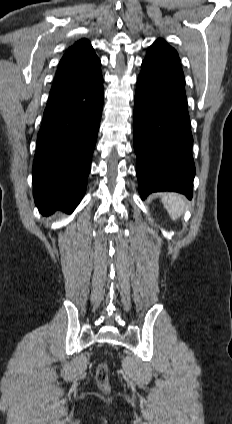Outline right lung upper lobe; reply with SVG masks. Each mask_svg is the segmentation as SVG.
<instances>
[{"label":"right lung upper lobe","mask_w":232,"mask_h":424,"mask_svg":"<svg viewBox=\"0 0 232 424\" xmlns=\"http://www.w3.org/2000/svg\"><path fill=\"white\" fill-rule=\"evenodd\" d=\"M100 65V60L90 42L87 39L79 40L60 60L50 92L73 83L100 77Z\"/></svg>","instance_id":"right-lung-upper-lobe-1"}]
</instances>
